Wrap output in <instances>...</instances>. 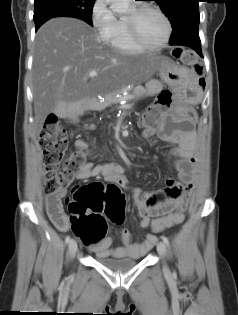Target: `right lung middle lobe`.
Here are the masks:
<instances>
[{"label": "right lung middle lobe", "instance_id": "obj_1", "mask_svg": "<svg viewBox=\"0 0 238 315\" xmlns=\"http://www.w3.org/2000/svg\"><path fill=\"white\" fill-rule=\"evenodd\" d=\"M95 0H35L34 22L53 17H74L93 26Z\"/></svg>", "mask_w": 238, "mask_h": 315}]
</instances>
